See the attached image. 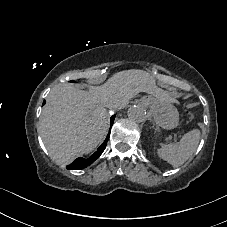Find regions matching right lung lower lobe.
<instances>
[{
    "instance_id": "1",
    "label": "right lung lower lobe",
    "mask_w": 227,
    "mask_h": 227,
    "mask_svg": "<svg viewBox=\"0 0 227 227\" xmlns=\"http://www.w3.org/2000/svg\"><path fill=\"white\" fill-rule=\"evenodd\" d=\"M113 120L111 119V126L113 124ZM110 133L108 134L106 140L103 142V144L97 149V151L92 154L89 158L85 159V158H77L73 163H71L70 165L67 166V169L69 170H74V169H83L86 168L88 165L92 164L96 159L99 158V156L102 154V152L104 151L106 144L108 142V137H109Z\"/></svg>"
}]
</instances>
